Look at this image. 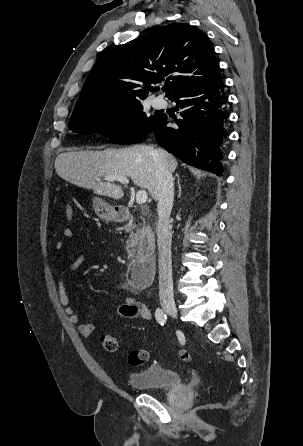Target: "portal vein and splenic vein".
Instances as JSON below:
<instances>
[{
	"mask_svg": "<svg viewBox=\"0 0 303 446\" xmlns=\"http://www.w3.org/2000/svg\"><path fill=\"white\" fill-rule=\"evenodd\" d=\"M104 180L106 181H119L123 184H128L129 183V179L125 176H121V175H109V176H104ZM148 199V195L147 192L145 190H139L136 194V202L139 205H142L144 203H146Z\"/></svg>",
	"mask_w": 303,
	"mask_h": 446,
	"instance_id": "1",
	"label": "portal vein and splenic vein"
}]
</instances>
